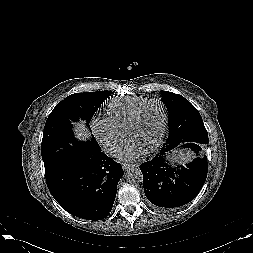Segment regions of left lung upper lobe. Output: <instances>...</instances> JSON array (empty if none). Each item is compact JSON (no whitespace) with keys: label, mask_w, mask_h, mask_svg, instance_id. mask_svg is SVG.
Here are the masks:
<instances>
[{"label":"left lung upper lobe","mask_w":253,"mask_h":253,"mask_svg":"<svg viewBox=\"0 0 253 253\" xmlns=\"http://www.w3.org/2000/svg\"><path fill=\"white\" fill-rule=\"evenodd\" d=\"M162 101L169 112V136L164 146L194 141L208 144V133L198 110L183 96L161 91Z\"/></svg>","instance_id":"obj_1"}]
</instances>
